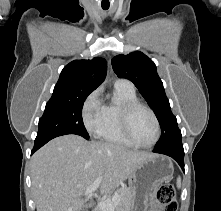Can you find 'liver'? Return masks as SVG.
<instances>
[{
    "label": "liver",
    "instance_id": "6515ba94",
    "mask_svg": "<svg viewBox=\"0 0 221 211\" xmlns=\"http://www.w3.org/2000/svg\"><path fill=\"white\" fill-rule=\"evenodd\" d=\"M152 156L77 135L57 137L31 159L32 191L37 211H81L82 197L102 177L100 193L107 194L130 178L138 162Z\"/></svg>",
    "mask_w": 221,
    "mask_h": 211
}]
</instances>
